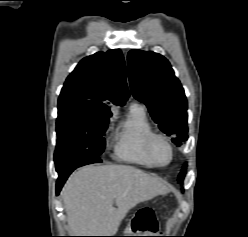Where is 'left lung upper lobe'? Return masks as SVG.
Returning a JSON list of instances; mask_svg holds the SVG:
<instances>
[{"label":"left lung upper lobe","instance_id":"left-lung-upper-lobe-1","mask_svg":"<svg viewBox=\"0 0 248 237\" xmlns=\"http://www.w3.org/2000/svg\"><path fill=\"white\" fill-rule=\"evenodd\" d=\"M133 96L146 104L160 129L180 146L188 138L187 100L168 60L154 52L131 50L128 54ZM185 170L179 175L182 183Z\"/></svg>","mask_w":248,"mask_h":237}]
</instances>
